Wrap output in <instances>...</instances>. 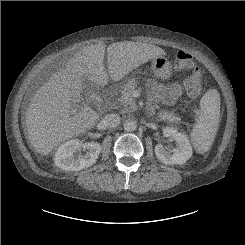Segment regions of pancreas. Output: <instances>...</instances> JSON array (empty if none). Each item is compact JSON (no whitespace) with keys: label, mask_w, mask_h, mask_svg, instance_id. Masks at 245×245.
<instances>
[{"label":"pancreas","mask_w":245,"mask_h":245,"mask_svg":"<svg viewBox=\"0 0 245 245\" xmlns=\"http://www.w3.org/2000/svg\"><path fill=\"white\" fill-rule=\"evenodd\" d=\"M137 87V82L135 79H130L121 91V96L118 99L120 105L122 106V112L127 113L136 110L137 106L135 100L132 97V92ZM160 120L169 122H179L180 117L169 111H160L158 113Z\"/></svg>","instance_id":"1"}]
</instances>
